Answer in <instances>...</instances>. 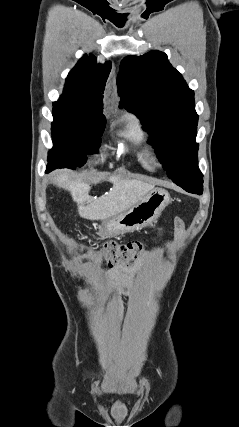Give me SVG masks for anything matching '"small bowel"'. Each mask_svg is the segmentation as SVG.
I'll list each match as a JSON object with an SVG mask.
<instances>
[{
    "label": "small bowel",
    "mask_w": 239,
    "mask_h": 427,
    "mask_svg": "<svg viewBox=\"0 0 239 427\" xmlns=\"http://www.w3.org/2000/svg\"><path fill=\"white\" fill-rule=\"evenodd\" d=\"M177 227H181L180 220L175 221ZM155 261L153 255H147L142 260L135 262L130 266H116L110 270L109 275L121 286L129 289L132 287L133 279L140 275L144 268Z\"/></svg>",
    "instance_id": "c3829d8e"
}]
</instances>
